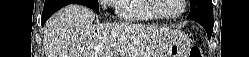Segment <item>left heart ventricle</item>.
<instances>
[{"label":"left heart ventricle","instance_id":"left-heart-ventricle-1","mask_svg":"<svg viewBox=\"0 0 249 57\" xmlns=\"http://www.w3.org/2000/svg\"><path fill=\"white\" fill-rule=\"evenodd\" d=\"M180 9V0H158V11L162 14H175Z\"/></svg>","mask_w":249,"mask_h":57}]
</instances>
